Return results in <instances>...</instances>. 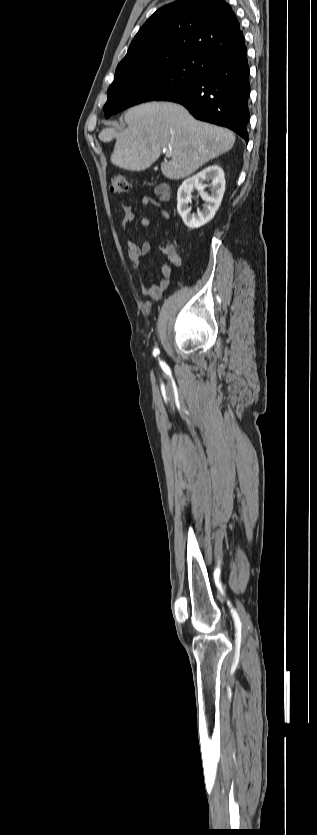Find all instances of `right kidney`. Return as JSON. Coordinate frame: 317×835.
<instances>
[{"label":"right kidney","mask_w":317,"mask_h":835,"mask_svg":"<svg viewBox=\"0 0 317 835\" xmlns=\"http://www.w3.org/2000/svg\"><path fill=\"white\" fill-rule=\"evenodd\" d=\"M204 181H210V194L204 192L207 185ZM194 188L200 191L205 202L202 210L197 214L191 213L189 206L190 195ZM225 191V175L223 169L214 164L208 166L195 176L186 179L178 189L177 210L182 217L184 224L189 228H198L208 223L218 210Z\"/></svg>","instance_id":"1"}]
</instances>
